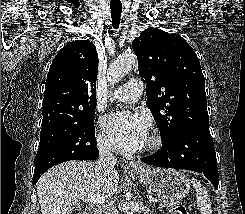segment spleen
Masks as SVG:
<instances>
[{
  "mask_svg": "<svg viewBox=\"0 0 245 214\" xmlns=\"http://www.w3.org/2000/svg\"><path fill=\"white\" fill-rule=\"evenodd\" d=\"M191 183L196 190L197 207L201 214H212V207L206 189L196 179H191Z\"/></svg>",
  "mask_w": 245,
  "mask_h": 214,
  "instance_id": "obj_1",
  "label": "spleen"
}]
</instances>
